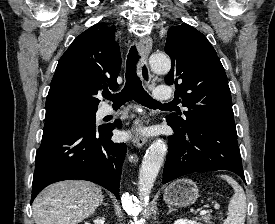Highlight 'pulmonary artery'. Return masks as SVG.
Wrapping results in <instances>:
<instances>
[{
    "label": "pulmonary artery",
    "mask_w": 275,
    "mask_h": 224,
    "mask_svg": "<svg viewBox=\"0 0 275 224\" xmlns=\"http://www.w3.org/2000/svg\"><path fill=\"white\" fill-rule=\"evenodd\" d=\"M172 89L168 86L157 87L154 90V98L158 101H169L172 99ZM113 109L111 107H107L105 110L106 114H111Z\"/></svg>",
    "instance_id": "e3ab8cb5"
}]
</instances>
